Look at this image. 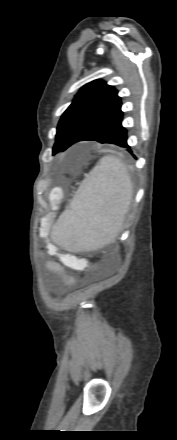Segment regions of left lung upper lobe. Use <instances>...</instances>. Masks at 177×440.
<instances>
[{"label":"left lung upper lobe","instance_id":"5c2ea615","mask_svg":"<svg viewBox=\"0 0 177 440\" xmlns=\"http://www.w3.org/2000/svg\"><path fill=\"white\" fill-rule=\"evenodd\" d=\"M121 111L117 90L102 80L84 85L63 113L53 154L64 151Z\"/></svg>","mask_w":177,"mask_h":440}]
</instances>
